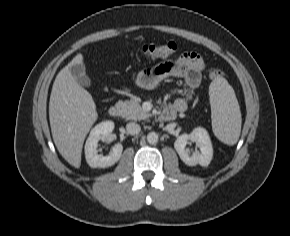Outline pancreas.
Listing matches in <instances>:
<instances>
[{"label":"pancreas","instance_id":"obj_1","mask_svg":"<svg viewBox=\"0 0 290 236\" xmlns=\"http://www.w3.org/2000/svg\"><path fill=\"white\" fill-rule=\"evenodd\" d=\"M116 106L121 109V115L126 120H144L151 116L136 100L118 101Z\"/></svg>","mask_w":290,"mask_h":236}]
</instances>
